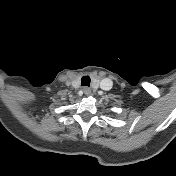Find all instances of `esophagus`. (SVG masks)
I'll use <instances>...</instances> for the list:
<instances>
[{
    "mask_svg": "<svg viewBox=\"0 0 176 176\" xmlns=\"http://www.w3.org/2000/svg\"><path fill=\"white\" fill-rule=\"evenodd\" d=\"M83 92L86 94V95H89L90 94V89L88 87H84L83 88Z\"/></svg>",
    "mask_w": 176,
    "mask_h": 176,
    "instance_id": "obj_1",
    "label": "esophagus"
}]
</instances>
